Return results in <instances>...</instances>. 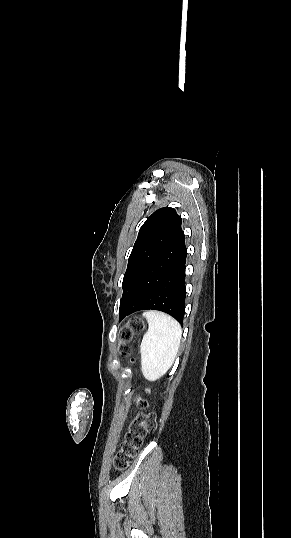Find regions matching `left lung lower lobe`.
I'll list each match as a JSON object with an SVG mask.
<instances>
[{
  "label": "left lung lower lobe",
  "instance_id": "obj_1",
  "mask_svg": "<svg viewBox=\"0 0 291 538\" xmlns=\"http://www.w3.org/2000/svg\"><path fill=\"white\" fill-rule=\"evenodd\" d=\"M182 233L146 269L128 300L120 305L119 320L144 309L166 312L183 324L185 313V261Z\"/></svg>",
  "mask_w": 291,
  "mask_h": 538
}]
</instances>
